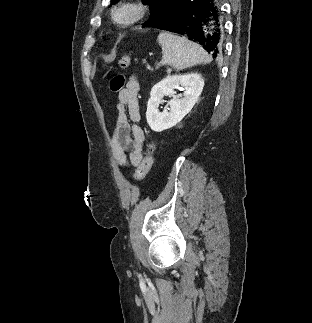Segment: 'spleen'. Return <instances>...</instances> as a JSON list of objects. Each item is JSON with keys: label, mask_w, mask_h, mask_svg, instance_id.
Returning a JSON list of instances; mask_svg holds the SVG:
<instances>
[{"label": "spleen", "mask_w": 312, "mask_h": 323, "mask_svg": "<svg viewBox=\"0 0 312 323\" xmlns=\"http://www.w3.org/2000/svg\"><path fill=\"white\" fill-rule=\"evenodd\" d=\"M162 48V64L173 66L175 70H185L196 64H209L212 58L195 42L175 36L173 32L162 30L158 36Z\"/></svg>", "instance_id": "3e777b00"}]
</instances>
